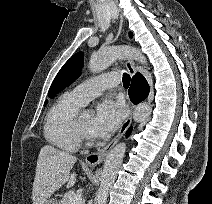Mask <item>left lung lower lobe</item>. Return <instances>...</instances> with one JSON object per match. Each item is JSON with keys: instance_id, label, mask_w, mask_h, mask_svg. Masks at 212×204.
I'll use <instances>...</instances> for the list:
<instances>
[{"instance_id": "left-lung-lower-lobe-1", "label": "left lung lower lobe", "mask_w": 212, "mask_h": 204, "mask_svg": "<svg viewBox=\"0 0 212 204\" xmlns=\"http://www.w3.org/2000/svg\"><path fill=\"white\" fill-rule=\"evenodd\" d=\"M130 134V130L128 131V133H127V136Z\"/></svg>"}]
</instances>
